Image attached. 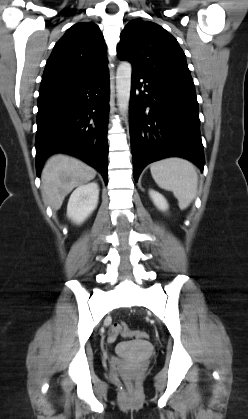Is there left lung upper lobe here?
I'll list each match as a JSON object with an SVG mask.
<instances>
[{
  "mask_svg": "<svg viewBox=\"0 0 248 419\" xmlns=\"http://www.w3.org/2000/svg\"><path fill=\"white\" fill-rule=\"evenodd\" d=\"M120 39L117 57L130 61L133 70L195 89L183 50L161 26L135 19L126 25Z\"/></svg>",
  "mask_w": 248,
  "mask_h": 419,
  "instance_id": "1",
  "label": "left lung upper lobe"
}]
</instances>
